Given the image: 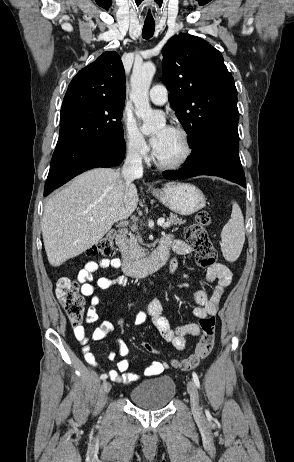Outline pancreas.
<instances>
[{"mask_svg":"<svg viewBox=\"0 0 294 462\" xmlns=\"http://www.w3.org/2000/svg\"><path fill=\"white\" fill-rule=\"evenodd\" d=\"M167 223L168 225H163V228H167L172 225H181L184 224L185 221L178 217L176 214H170L169 218L167 219ZM139 243H142V238L140 236H134L133 234H130L125 248V254L130 259L135 260L145 256V249L142 248Z\"/></svg>","mask_w":294,"mask_h":462,"instance_id":"cf45deb5","label":"pancreas"}]
</instances>
